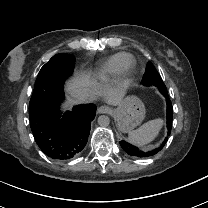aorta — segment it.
<instances>
[{"mask_svg":"<svg viewBox=\"0 0 208 208\" xmlns=\"http://www.w3.org/2000/svg\"><path fill=\"white\" fill-rule=\"evenodd\" d=\"M98 124L102 127H107L110 124V119L108 116L101 115L98 117Z\"/></svg>","mask_w":208,"mask_h":208,"instance_id":"aorta-1","label":"aorta"}]
</instances>
